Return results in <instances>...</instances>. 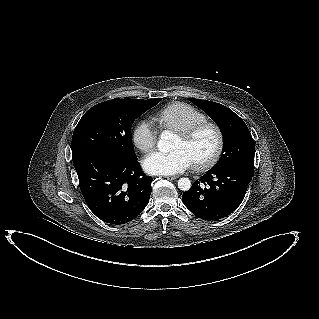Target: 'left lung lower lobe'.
I'll use <instances>...</instances> for the list:
<instances>
[{
	"label": "left lung lower lobe",
	"mask_w": 319,
	"mask_h": 319,
	"mask_svg": "<svg viewBox=\"0 0 319 319\" xmlns=\"http://www.w3.org/2000/svg\"><path fill=\"white\" fill-rule=\"evenodd\" d=\"M254 171L240 166L210 169L182 195L184 205L209 221L228 217L243 201Z\"/></svg>",
	"instance_id": "1"
}]
</instances>
